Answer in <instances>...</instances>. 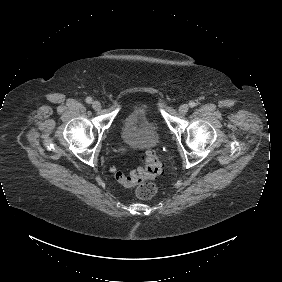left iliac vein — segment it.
<instances>
[{"instance_id":"obj_1","label":"left iliac vein","mask_w":282,"mask_h":282,"mask_svg":"<svg viewBox=\"0 0 282 282\" xmlns=\"http://www.w3.org/2000/svg\"><path fill=\"white\" fill-rule=\"evenodd\" d=\"M189 110V106L187 104H183L179 107V113L181 115H185Z\"/></svg>"}]
</instances>
